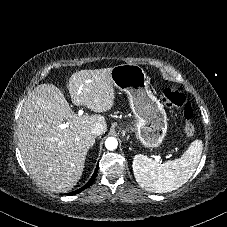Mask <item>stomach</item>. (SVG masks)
Returning a JSON list of instances; mask_svg holds the SVG:
<instances>
[{"instance_id": "1", "label": "stomach", "mask_w": 227, "mask_h": 227, "mask_svg": "<svg viewBox=\"0 0 227 227\" xmlns=\"http://www.w3.org/2000/svg\"><path fill=\"white\" fill-rule=\"evenodd\" d=\"M113 85L128 95L136 122L127 130L147 148L159 147L167 133L168 118L163 105L149 89V80L136 64L114 66L110 73Z\"/></svg>"}]
</instances>
